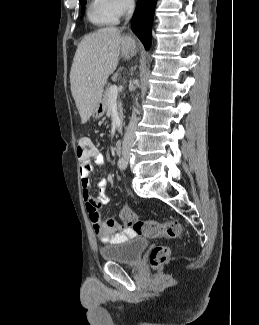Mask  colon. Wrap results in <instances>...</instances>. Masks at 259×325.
I'll use <instances>...</instances> for the list:
<instances>
[{
  "instance_id": "1",
  "label": "colon",
  "mask_w": 259,
  "mask_h": 325,
  "mask_svg": "<svg viewBox=\"0 0 259 325\" xmlns=\"http://www.w3.org/2000/svg\"><path fill=\"white\" fill-rule=\"evenodd\" d=\"M95 152V146L92 140L83 136L77 142V156L80 160H88ZM120 218L124 225L131 228L135 233L149 237H164L168 239H176L182 233L181 224L175 220H169L159 223L152 220H140L136 214L127 206H123L120 210ZM171 249L168 246L159 245L153 248L150 253L149 261L151 266L159 267L165 264L170 257Z\"/></svg>"
}]
</instances>
